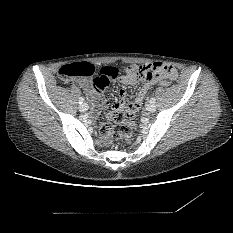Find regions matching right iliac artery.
<instances>
[{"instance_id": "1", "label": "right iliac artery", "mask_w": 233, "mask_h": 233, "mask_svg": "<svg viewBox=\"0 0 233 233\" xmlns=\"http://www.w3.org/2000/svg\"><path fill=\"white\" fill-rule=\"evenodd\" d=\"M78 102H79V104H82L84 102V99L82 97H80Z\"/></svg>"}]
</instances>
